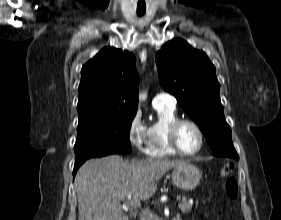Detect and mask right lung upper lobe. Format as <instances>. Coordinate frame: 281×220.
<instances>
[{
    "label": "right lung upper lobe",
    "mask_w": 281,
    "mask_h": 220,
    "mask_svg": "<svg viewBox=\"0 0 281 220\" xmlns=\"http://www.w3.org/2000/svg\"><path fill=\"white\" fill-rule=\"evenodd\" d=\"M133 54L104 48L81 69L79 118L136 114L139 75Z\"/></svg>",
    "instance_id": "cb5924a9"
}]
</instances>
